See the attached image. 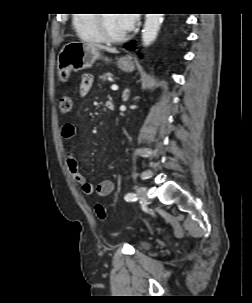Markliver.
Here are the masks:
<instances>
[{"label":"liver","mask_w":252,"mask_h":303,"mask_svg":"<svg viewBox=\"0 0 252 303\" xmlns=\"http://www.w3.org/2000/svg\"><path fill=\"white\" fill-rule=\"evenodd\" d=\"M90 44L92 46H95L96 48L104 49V50H106L107 52H110V53H116L117 52V50L115 48H110V47H106V46L95 44V43H90Z\"/></svg>","instance_id":"obj_1"}]
</instances>
